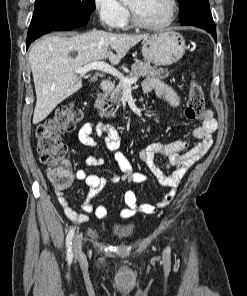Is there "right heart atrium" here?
<instances>
[{
	"mask_svg": "<svg viewBox=\"0 0 247 296\" xmlns=\"http://www.w3.org/2000/svg\"><path fill=\"white\" fill-rule=\"evenodd\" d=\"M94 12L103 26L118 28L127 19L128 11L119 0H93Z\"/></svg>",
	"mask_w": 247,
	"mask_h": 296,
	"instance_id": "right-heart-atrium-1",
	"label": "right heart atrium"
}]
</instances>
